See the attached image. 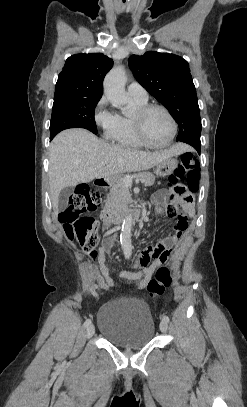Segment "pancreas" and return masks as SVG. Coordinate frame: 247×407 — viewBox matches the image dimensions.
Listing matches in <instances>:
<instances>
[{
    "label": "pancreas",
    "instance_id": "obj_1",
    "mask_svg": "<svg viewBox=\"0 0 247 407\" xmlns=\"http://www.w3.org/2000/svg\"><path fill=\"white\" fill-rule=\"evenodd\" d=\"M134 177L140 178L145 186H152L155 182V176L149 172L139 173ZM123 179L120 178L110 190L107 201L111 206H126L130 201L129 189Z\"/></svg>",
    "mask_w": 247,
    "mask_h": 407
}]
</instances>
